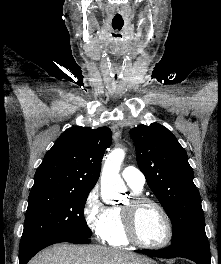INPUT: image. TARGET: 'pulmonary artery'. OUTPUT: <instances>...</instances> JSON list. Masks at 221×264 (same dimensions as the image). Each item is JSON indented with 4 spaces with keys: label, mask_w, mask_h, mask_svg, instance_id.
Returning a JSON list of instances; mask_svg holds the SVG:
<instances>
[{
    "label": "pulmonary artery",
    "mask_w": 221,
    "mask_h": 264,
    "mask_svg": "<svg viewBox=\"0 0 221 264\" xmlns=\"http://www.w3.org/2000/svg\"><path fill=\"white\" fill-rule=\"evenodd\" d=\"M121 175L131 188L138 191L143 189L145 176L140 169L134 166H127L122 170Z\"/></svg>",
    "instance_id": "e3ab8cb5"
}]
</instances>
